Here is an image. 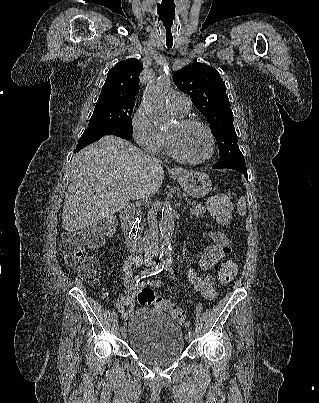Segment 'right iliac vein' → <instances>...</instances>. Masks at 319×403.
<instances>
[{
    "mask_svg": "<svg viewBox=\"0 0 319 403\" xmlns=\"http://www.w3.org/2000/svg\"><path fill=\"white\" fill-rule=\"evenodd\" d=\"M121 337H122L123 339L126 338V330H125V329H124L123 331H121Z\"/></svg>",
    "mask_w": 319,
    "mask_h": 403,
    "instance_id": "63e3f726",
    "label": "right iliac vein"
}]
</instances>
